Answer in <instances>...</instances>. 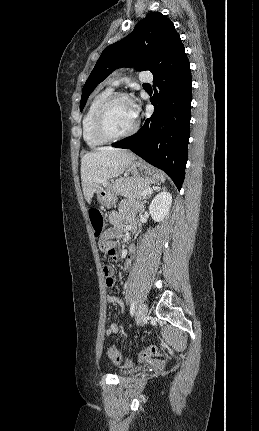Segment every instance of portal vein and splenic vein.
<instances>
[{
    "instance_id": "obj_1",
    "label": "portal vein and splenic vein",
    "mask_w": 259,
    "mask_h": 431,
    "mask_svg": "<svg viewBox=\"0 0 259 431\" xmlns=\"http://www.w3.org/2000/svg\"><path fill=\"white\" fill-rule=\"evenodd\" d=\"M151 191H152V189H151V188H148V189L144 190V191L142 192V194H149V193H151Z\"/></svg>"
}]
</instances>
